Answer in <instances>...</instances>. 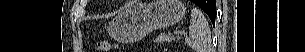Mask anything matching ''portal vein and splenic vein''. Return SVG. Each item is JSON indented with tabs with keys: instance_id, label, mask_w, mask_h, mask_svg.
<instances>
[{
	"instance_id": "1",
	"label": "portal vein and splenic vein",
	"mask_w": 305,
	"mask_h": 52,
	"mask_svg": "<svg viewBox=\"0 0 305 52\" xmlns=\"http://www.w3.org/2000/svg\"><path fill=\"white\" fill-rule=\"evenodd\" d=\"M175 34H177V35H185L186 32L184 30H182V31L178 30V31L175 32Z\"/></svg>"
}]
</instances>
